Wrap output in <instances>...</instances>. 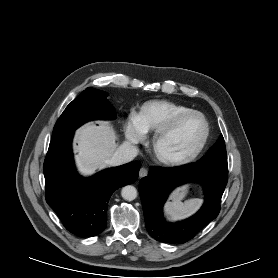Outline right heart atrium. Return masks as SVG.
Instances as JSON below:
<instances>
[{"mask_svg":"<svg viewBox=\"0 0 278 278\" xmlns=\"http://www.w3.org/2000/svg\"><path fill=\"white\" fill-rule=\"evenodd\" d=\"M125 136L127 140L131 143H139L144 139V131L141 129L137 116L131 114L125 122Z\"/></svg>","mask_w":278,"mask_h":278,"instance_id":"obj_1","label":"right heart atrium"}]
</instances>
